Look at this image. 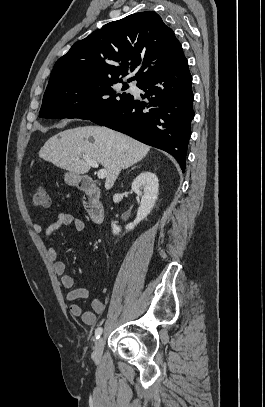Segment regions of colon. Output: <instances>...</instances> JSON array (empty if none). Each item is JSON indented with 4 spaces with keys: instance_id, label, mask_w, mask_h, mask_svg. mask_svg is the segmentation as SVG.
Instances as JSON below:
<instances>
[{
    "instance_id": "colon-1",
    "label": "colon",
    "mask_w": 265,
    "mask_h": 407,
    "mask_svg": "<svg viewBox=\"0 0 265 407\" xmlns=\"http://www.w3.org/2000/svg\"><path fill=\"white\" fill-rule=\"evenodd\" d=\"M33 204L39 207H45L50 204V198L47 187L39 184L35 187L32 197Z\"/></svg>"
}]
</instances>
